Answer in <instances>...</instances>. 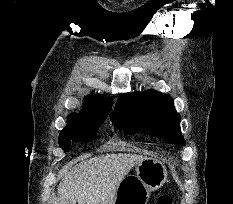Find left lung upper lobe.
<instances>
[{
    "label": "left lung upper lobe",
    "mask_w": 233,
    "mask_h": 204,
    "mask_svg": "<svg viewBox=\"0 0 233 204\" xmlns=\"http://www.w3.org/2000/svg\"><path fill=\"white\" fill-rule=\"evenodd\" d=\"M111 120L126 133H148L184 145L180 116L173 99L155 90L123 94L116 103Z\"/></svg>",
    "instance_id": "left-lung-upper-lobe-1"
}]
</instances>
